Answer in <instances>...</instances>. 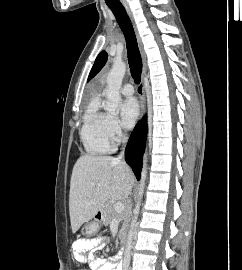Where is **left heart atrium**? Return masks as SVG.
I'll list each match as a JSON object with an SVG mask.
<instances>
[{"mask_svg": "<svg viewBox=\"0 0 242 270\" xmlns=\"http://www.w3.org/2000/svg\"><path fill=\"white\" fill-rule=\"evenodd\" d=\"M139 116V104L135 98H127L121 104V118L124 126L130 128Z\"/></svg>", "mask_w": 242, "mask_h": 270, "instance_id": "obj_1", "label": "left heart atrium"}]
</instances>
